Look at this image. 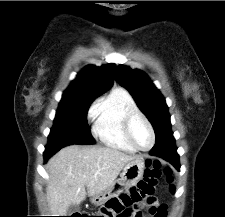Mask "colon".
Returning <instances> with one entry per match:
<instances>
[{"label": "colon", "mask_w": 225, "mask_h": 217, "mask_svg": "<svg viewBox=\"0 0 225 217\" xmlns=\"http://www.w3.org/2000/svg\"><path fill=\"white\" fill-rule=\"evenodd\" d=\"M162 176L165 177L169 189L173 191L171 171L167 168L162 169L158 161L147 160L144 177L137 186L122 192L117 197L108 201L106 206L100 212V216L91 217H119L124 210H132V208L142 200L152 199ZM148 212V216H142L139 211H135L133 214L134 217H166V207L164 205L150 208Z\"/></svg>", "instance_id": "5ec220e1"}]
</instances>
